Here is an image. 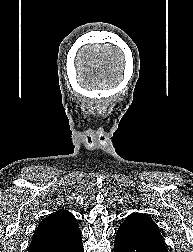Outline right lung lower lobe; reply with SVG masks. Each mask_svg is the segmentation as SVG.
I'll return each mask as SVG.
<instances>
[{
  "mask_svg": "<svg viewBox=\"0 0 193 252\" xmlns=\"http://www.w3.org/2000/svg\"><path fill=\"white\" fill-rule=\"evenodd\" d=\"M81 231L69 236L66 240L30 249L29 252H83Z\"/></svg>",
  "mask_w": 193,
  "mask_h": 252,
  "instance_id": "obj_1",
  "label": "right lung lower lobe"
}]
</instances>
